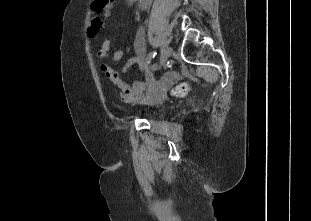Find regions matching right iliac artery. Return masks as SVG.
Masks as SVG:
<instances>
[{
  "mask_svg": "<svg viewBox=\"0 0 311 221\" xmlns=\"http://www.w3.org/2000/svg\"><path fill=\"white\" fill-rule=\"evenodd\" d=\"M156 54H157V53H156L155 51L149 53V55H148L147 58H146V62H145V66H146V67L150 64V62H151L152 59L156 56Z\"/></svg>",
  "mask_w": 311,
  "mask_h": 221,
  "instance_id": "obj_1",
  "label": "right iliac artery"
}]
</instances>
